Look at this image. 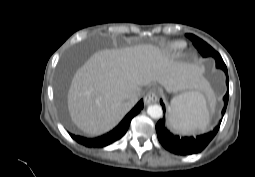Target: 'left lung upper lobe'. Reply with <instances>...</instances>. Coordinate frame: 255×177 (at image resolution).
<instances>
[{"label":"left lung upper lobe","mask_w":255,"mask_h":177,"mask_svg":"<svg viewBox=\"0 0 255 177\" xmlns=\"http://www.w3.org/2000/svg\"><path fill=\"white\" fill-rule=\"evenodd\" d=\"M186 36L193 42V45L197 48V50L203 57L208 56L214 57L216 61V67L224 70V72L228 74L227 67L218 52H216L210 45H208L206 42H204L197 36L193 34H186Z\"/></svg>","instance_id":"5c2ea615"}]
</instances>
